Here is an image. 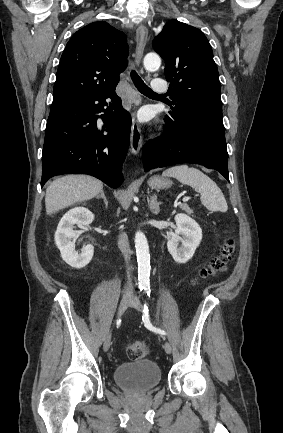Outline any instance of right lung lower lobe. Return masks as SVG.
<instances>
[{
  "mask_svg": "<svg viewBox=\"0 0 283 433\" xmlns=\"http://www.w3.org/2000/svg\"><path fill=\"white\" fill-rule=\"evenodd\" d=\"M107 98L112 105L105 108ZM101 112L104 114L98 115ZM130 129V115L122 108L115 89L51 108L42 154L41 187L49 178L67 173L89 174L112 188L119 187Z\"/></svg>",
  "mask_w": 283,
  "mask_h": 433,
  "instance_id": "1",
  "label": "right lung lower lobe"
}]
</instances>
